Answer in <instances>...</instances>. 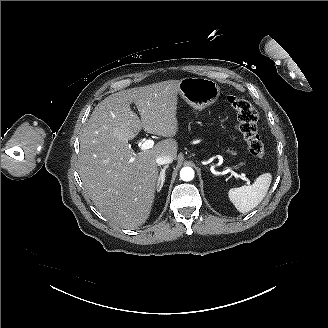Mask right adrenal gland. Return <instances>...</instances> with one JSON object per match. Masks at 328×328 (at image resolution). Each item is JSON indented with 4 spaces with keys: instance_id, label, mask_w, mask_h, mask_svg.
Instances as JSON below:
<instances>
[{
    "instance_id": "obj_1",
    "label": "right adrenal gland",
    "mask_w": 328,
    "mask_h": 328,
    "mask_svg": "<svg viewBox=\"0 0 328 328\" xmlns=\"http://www.w3.org/2000/svg\"><path fill=\"white\" fill-rule=\"evenodd\" d=\"M168 167L169 166L166 165V166L163 167V169H161L160 177H159L158 182H157V191L158 192L163 188V185H164V182H165V170Z\"/></svg>"
}]
</instances>
